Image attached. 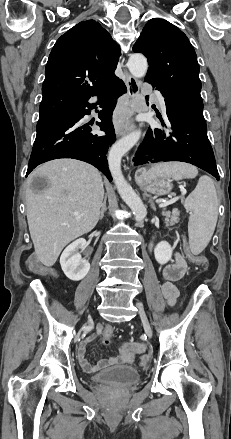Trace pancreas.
<instances>
[{
	"mask_svg": "<svg viewBox=\"0 0 231 439\" xmlns=\"http://www.w3.org/2000/svg\"><path fill=\"white\" fill-rule=\"evenodd\" d=\"M163 216H165V223L167 226H172L174 224H177L180 219H179V211L178 210H173L172 213L166 212L163 213Z\"/></svg>",
	"mask_w": 231,
	"mask_h": 439,
	"instance_id": "pancreas-1",
	"label": "pancreas"
}]
</instances>
